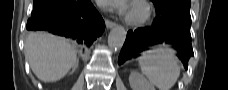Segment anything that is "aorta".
I'll return each mask as SVG.
<instances>
[{
    "label": "aorta",
    "instance_id": "762f6f07",
    "mask_svg": "<svg viewBox=\"0 0 228 90\" xmlns=\"http://www.w3.org/2000/svg\"><path fill=\"white\" fill-rule=\"evenodd\" d=\"M126 40V31L122 26L114 27L108 36V45L111 49L119 50Z\"/></svg>",
    "mask_w": 228,
    "mask_h": 90
}]
</instances>
